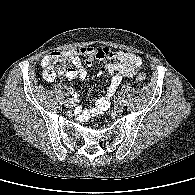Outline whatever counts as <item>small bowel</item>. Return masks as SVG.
<instances>
[{"label":"small bowel","instance_id":"c3829d8e","mask_svg":"<svg viewBox=\"0 0 195 195\" xmlns=\"http://www.w3.org/2000/svg\"><path fill=\"white\" fill-rule=\"evenodd\" d=\"M73 66L64 75L70 80L84 81L87 77V66L98 62L104 64L99 74L106 73L109 76L108 86L104 95L93 102L88 109H76L75 113L79 120L86 121L93 116H100L110 107L111 99L118 90L123 77H133L143 67L141 57L129 52H113L107 48L85 47L76 50L62 52ZM84 59V61H83Z\"/></svg>","mask_w":195,"mask_h":195}]
</instances>
